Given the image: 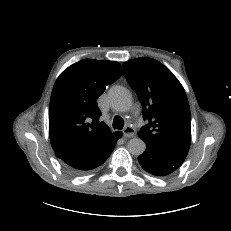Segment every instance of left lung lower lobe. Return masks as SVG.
<instances>
[{"label": "left lung lower lobe", "mask_w": 231, "mask_h": 231, "mask_svg": "<svg viewBox=\"0 0 231 231\" xmlns=\"http://www.w3.org/2000/svg\"><path fill=\"white\" fill-rule=\"evenodd\" d=\"M186 156V153L146 145V150L138 157V161L148 173L164 176L179 168Z\"/></svg>", "instance_id": "0a47b994"}]
</instances>
